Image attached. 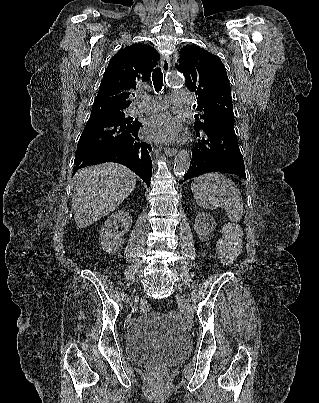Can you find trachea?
Here are the masks:
<instances>
[{
  "label": "trachea",
  "instance_id": "1",
  "mask_svg": "<svg viewBox=\"0 0 319 403\" xmlns=\"http://www.w3.org/2000/svg\"><path fill=\"white\" fill-rule=\"evenodd\" d=\"M152 81L156 92H159L163 86V74L159 67H156L152 74Z\"/></svg>",
  "mask_w": 319,
  "mask_h": 403
}]
</instances>
